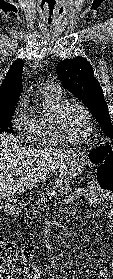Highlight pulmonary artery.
<instances>
[{
  "instance_id": "e3ab8cb5",
  "label": "pulmonary artery",
  "mask_w": 113,
  "mask_h": 279,
  "mask_svg": "<svg viewBox=\"0 0 113 279\" xmlns=\"http://www.w3.org/2000/svg\"><path fill=\"white\" fill-rule=\"evenodd\" d=\"M43 91H48L57 95L61 94V89L56 83H46L43 85Z\"/></svg>"
}]
</instances>
